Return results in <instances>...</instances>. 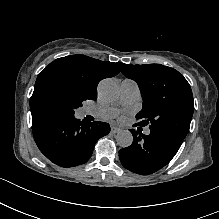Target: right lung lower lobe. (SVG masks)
Listing matches in <instances>:
<instances>
[{"label": "right lung lower lobe", "mask_w": 219, "mask_h": 219, "mask_svg": "<svg viewBox=\"0 0 219 219\" xmlns=\"http://www.w3.org/2000/svg\"><path fill=\"white\" fill-rule=\"evenodd\" d=\"M32 132L40 151L61 167L84 164L97 140L110 132L108 123H83L54 109L33 108Z\"/></svg>", "instance_id": "obj_1"}]
</instances>
